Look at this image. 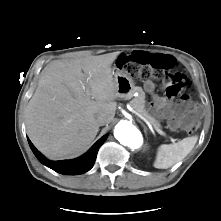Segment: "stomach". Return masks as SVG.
Returning <instances> with one entry per match:
<instances>
[{"label": "stomach", "instance_id": "1", "mask_svg": "<svg viewBox=\"0 0 221 221\" xmlns=\"http://www.w3.org/2000/svg\"><path fill=\"white\" fill-rule=\"evenodd\" d=\"M114 80L118 86V93L124 97L128 92H131L135 88V82L127 73L122 70H117L114 75Z\"/></svg>", "mask_w": 221, "mask_h": 221}]
</instances>
